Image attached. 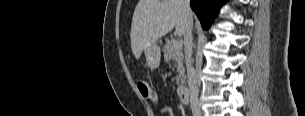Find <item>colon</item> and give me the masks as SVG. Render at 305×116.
Segmentation results:
<instances>
[{
    "label": "colon",
    "mask_w": 305,
    "mask_h": 116,
    "mask_svg": "<svg viewBox=\"0 0 305 116\" xmlns=\"http://www.w3.org/2000/svg\"><path fill=\"white\" fill-rule=\"evenodd\" d=\"M137 88L143 99L151 104L160 113V115H163L161 109L162 102L150 83L147 80L140 78L137 81Z\"/></svg>",
    "instance_id": "1"
}]
</instances>
